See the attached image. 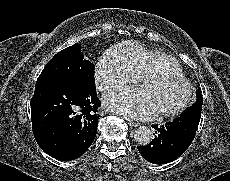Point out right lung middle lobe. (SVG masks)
<instances>
[{
	"instance_id": "1",
	"label": "right lung middle lobe",
	"mask_w": 230,
	"mask_h": 181,
	"mask_svg": "<svg viewBox=\"0 0 230 181\" xmlns=\"http://www.w3.org/2000/svg\"><path fill=\"white\" fill-rule=\"evenodd\" d=\"M94 69V64L84 58L81 45L74 44L58 52L45 65L36 86L45 83H73L94 90Z\"/></svg>"
}]
</instances>
